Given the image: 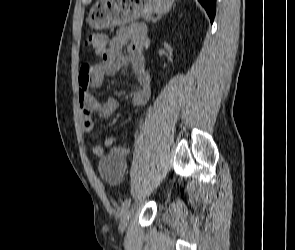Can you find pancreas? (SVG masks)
Returning <instances> with one entry per match:
<instances>
[{
	"label": "pancreas",
	"mask_w": 295,
	"mask_h": 250,
	"mask_svg": "<svg viewBox=\"0 0 295 250\" xmlns=\"http://www.w3.org/2000/svg\"><path fill=\"white\" fill-rule=\"evenodd\" d=\"M144 19H145L146 21H150L151 19H152V20H155V19L152 18L151 16H145Z\"/></svg>",
	"instance_id": "cf45deb5"
}]
</instances>
